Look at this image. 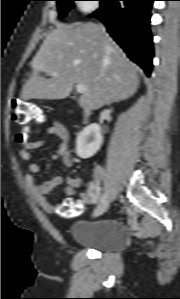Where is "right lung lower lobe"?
<instances>
[{
  "mask_svg": "<svg viewBox=\"0 0 180 299\" xmlns=\"http://www.w3.org/2000/svg\"><path fill=\"white\" fill-rule=\"evenodd\" d=\"M153 1L102 0L100 8L90 15L105 23L113 39L133 62L143 68L147 76L151 74L153 58L149 30Z\"/></svg>",
  "mask_w": 180,
  "mask_h": 299,
  "instance_id": "obj_1",
  "label": "right lung lower lobe"
}]
</instances>
